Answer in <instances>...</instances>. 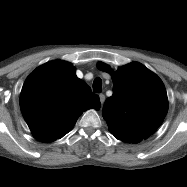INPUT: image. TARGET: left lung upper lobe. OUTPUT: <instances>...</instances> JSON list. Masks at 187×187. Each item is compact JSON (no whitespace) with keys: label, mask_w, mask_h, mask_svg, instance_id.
Wrapping results in <instances>:
<instances>
[{"label":"left lung upper lobe","mask_w":187,"mask_h":187,"mask_svg":"<svg viewBox=\"0 0 187 187\" xmlns=\"http://www.w3.org/2000/svg\"><path fill=\"white\" fill-rule=\"evenodd\" d=\"M98 68L113 79V95L104 103L108 129L123 142L138 143L162 124L168 99L163 82L144 65L134 62L113 72L102 62Z\"/></svg>","instance_id":"5c2ea615"}]
</instances>
